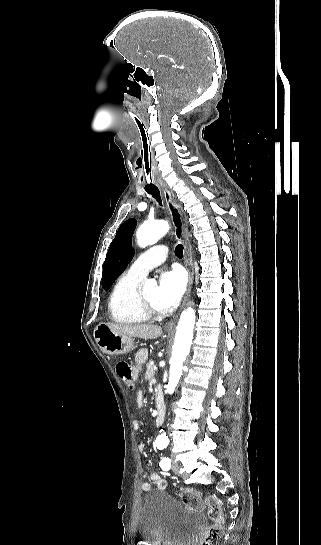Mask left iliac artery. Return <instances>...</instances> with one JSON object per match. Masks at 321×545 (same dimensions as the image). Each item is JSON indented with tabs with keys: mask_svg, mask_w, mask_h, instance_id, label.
Segmentation results:
<instances>
[{
	"mask_svg": "<svg viewBox=\"0 0 321 545\" xmlns=\"http://www.w3.org/2000/svg\"><path fill=\"white\" fill-rule=\"evenodd\" d=\"M159 449H163V447H159ZM160 466L164 471H168L171 466V459L168 457L163 458L160 463Z\"/></svg>",
	"mask_w": 321,
	"mask_h": 545,
	"instance_id": "44dca946",
	"label": "left iliac artery"
}]
</instances>
